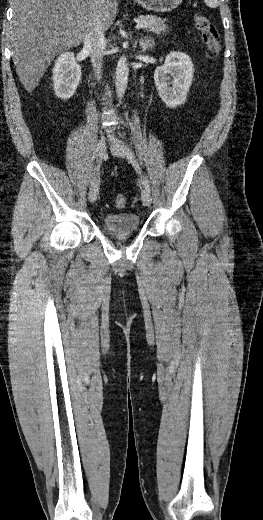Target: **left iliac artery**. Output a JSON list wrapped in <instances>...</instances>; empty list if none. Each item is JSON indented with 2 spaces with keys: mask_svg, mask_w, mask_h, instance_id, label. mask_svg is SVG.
I'll list each match as a JSON object with an SVG mask.
<instances>
[{
  "mask_svg": "<svg viewBox=\"0 0 263 520\" xmlns=\"http://www.w3.org/2000/svg\"><path fill=\"white\" fill-rule=\"evenodd\" d=\"M126 150H127V158L129 159V161L131 162V164L133 165L134 169L136 170V172L141 176V179H142V184H143V187L150 191V186H149V182L148 180H146L143 176H142V172H141V169L138 165V162L136 161V158L133 154V152L131 151V149L126 146Z\"/></svg>",
  "mask_w": 263,
  "mask_h": 520,
  "instance_id": "44dca946",
  "label": "left iliac artery"
}]
</instances>
